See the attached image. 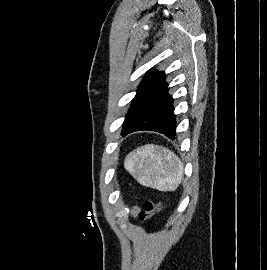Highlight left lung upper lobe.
Listing matches in <instances>:
<instances>
[{
    "instance_id": "1",
    "label": "left lung upper lobe",
    "mask_w": 267,
    "mask_h": 270,
    "mask_svg": "<svg viewBox=\"0 0 267 270\" xmlns=\"http://www.w3.org/2000/svg\"><path fill=\"white\" fill-rule=\"evenodd\" d=\"M167 86L168 84L165 82L164 72L152 70L147 73L140 83L137 94L134 97L131 107L126 115L122 135L134 125L141 115L163 93Z\"/></svg>"
}]
</instances>
